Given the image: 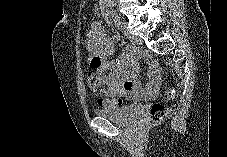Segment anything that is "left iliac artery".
<instances>
[{
	"mask_svg": "<svg viewBox=\"0 0 227 157\" xmlns=\"http://www.w3.org/2000/svg\"><path fill=\"white\" fill-rule=\"evenodd\" d=\"M116 25H117L118 28L122 27V22L119 20V18H118V20L116 22Z\"/></svg>",
	"mask_w": 227,
	"mask_h": 157,
	"instance_id": "1",
	"label": "left iliac artery"
}]
</instances>
